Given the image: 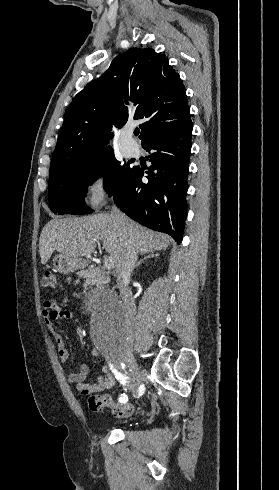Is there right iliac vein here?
Wrapping results in <instances>:
<instances>
[{
	"instance_id": "1",
	"label": "right iliac vein",
	"mask_w": 279,
	"mask_h": 490,
	"mask_svg": "<svg viewBox=\"0 0 279 490\" xmlns=\"http://www.w3.org/2000/svg\"><path fill=\"white\" fill-rule=\"evenodd\" d=\"M120 360L125 362L129 366V376L130 380L134 382L139 374L138 370V364L136 363L135 359L133 358L131 352L129 354H123L120 356Z\"/></svg>"
}]
</instances>
